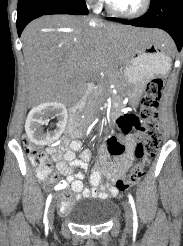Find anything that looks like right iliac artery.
Here are the masks:
<instances>
[{"label":"right iliac artery","mask_w":183,"mask_h":246,"mask_svg":"<svg viewBox=\"0 0 183 246\" xmlns=\"http://www.w3.org/2000/svg\"><path fill=\"white\" fill-rule=\"evenodd\" d=\"M51 199H52V194H50L47 197V200H46V207H45L44 218H43V223L45 225V228H48V217H47V214H48V208H49Z\"/></svg>","instance_id":"1"}]
</instances>
